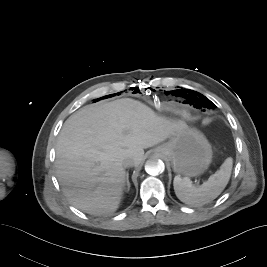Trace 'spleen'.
Instances as JSON below:
<instances>
[{"label":"spleen","instance_id":"1","mask_svg":"<svg viewBox=\"0 0 267 267\" xmlns=\"http://www.w3.org/2000/svg\"><path fill=\"white\" fill-rule=\"evenodd\" d=\"M232 165V158H227L220 166V169L199 187L193 186L187 177L175 176L173 186L176 196L183 203L193 206H202L214 200L228 184Z\"/></svg>","mask_w":267,"mask_h":267}]
</instances>
